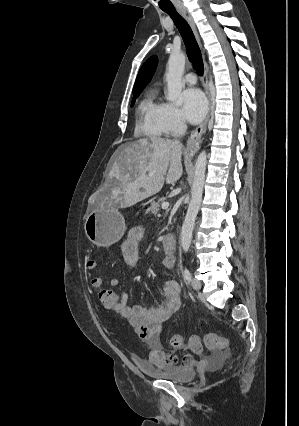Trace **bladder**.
Returning a JSON list of instances; mask_svg holds the SVG:
<instances>
[{"instance_id":"1","label":"bladder","mask_w":299,"mask_h":426,"mask_svg":"<svg viewBox=\"0 0 299 426\" xmlns=\"http://www.w3.org/2000/svg\"><path fill=\"white\" fill-rule=\"evenodd\" d=\"M143 372L149 377L171 381L176 384H187L196 376V370L189 366L153 367L139 361Z\"/></svg>"}]
</instances>
